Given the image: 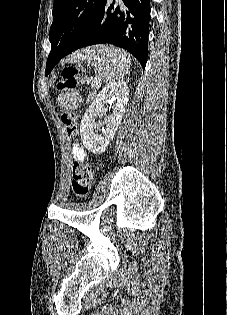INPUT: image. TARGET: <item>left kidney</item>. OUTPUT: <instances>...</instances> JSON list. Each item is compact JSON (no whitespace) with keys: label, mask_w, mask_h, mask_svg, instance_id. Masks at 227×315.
<instances>
[{"label":"left kidney","mask_w":227,"mask_h":315,"mask_svg":"<svg viewBox=\"0 0 227 315\" xmlns=\"http://www.w3.org/2000/svg\"><path fill=\"white\" fill-rule=\"evenodd\" d=\"M129 88L125 82L109 83L94 99L93 103L84 114L81 125L80 135L85 148L94 153L104 152L122 120L125 106L128 103ZM112 108V114L104 118L103 124L106 129L102 134H98L100 125L95 119L103 115L104 112Z\"/></svg>","instance_id":"left-kidney-1"}]
</instances>
